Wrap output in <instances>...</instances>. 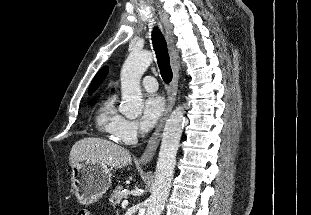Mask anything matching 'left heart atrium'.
Masks as SVG:
<instances>
[{"mask_svg": "<svg viewBox=\"0 0 311 215\" xmlns=\"http://www.w3.org/2000/svg\"><path fill=\"white\" fill-rule=\"evenodd\" d=\"M164 111V100L162 97L152 95L148 97L143 106L140 126L143 131L150 130L160 119Z\"/></svg>", "mask_w": 311, "mask_h": 215, "instance_id": "left-heart-atrium-1", "label": "left heart atrium"}]
</instances>
